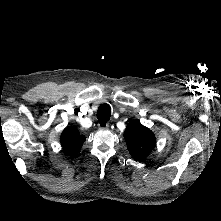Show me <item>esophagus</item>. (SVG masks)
<instances>
[{"instance_id":"1","label":"esophagus","mask_w":221,"mask_h":221,"mask_svg":"<svg viewBox=\"0 0 221 221\" xmlns=\"http://www.w3.org/2000/svg\"><path fill=\"white\" fill-rule=\"evenodd\" d=\"M98 127H99L100 129H106V128L109 127V123H108V122H99V123H98Z\"/></svg>"}]
</instances>
